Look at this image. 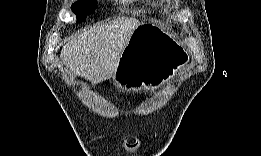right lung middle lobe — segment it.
<instances>
[{
  "instance_id": "obj_1",
  "label": "right lung middle lobe",
  "mask_w": 261,
  "mask_h": 156,
  "mask_svg": "<svg viewBox=\"0 0 261 156\" xmlns=\"http://www.w3.org/2000/svg\"><path fill=\"white\" fill-rule=\"evenodd\" d=\"M96 8L94 0H80L72 5V11L76 14L77 21H84L88 15L93 14Z\"/></svg>"
}]
</instances>
